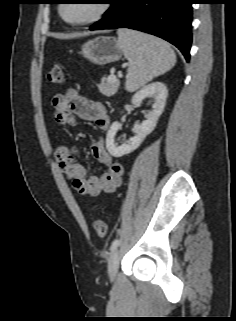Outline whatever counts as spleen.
Returning <instances> with one entry per match:
<instances>
[{
  "mask_svg": "<svg viewBox=\"0 0 236 321\" xmlns=\"http://www.w3.org/2000/svg\"><path fill=\"white\" fill-rule=\"evenodd\" d=\"M118 42L129 61L125 89L134 92L164 74L176 63V55L169 43L157 37L119 29Z\"/></svg>",
  "mask_w": 236,
  "mask_h": 321,
  "instance_id": "1",
  "label": "spleen"
}]
</instances>
